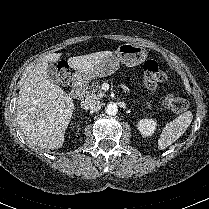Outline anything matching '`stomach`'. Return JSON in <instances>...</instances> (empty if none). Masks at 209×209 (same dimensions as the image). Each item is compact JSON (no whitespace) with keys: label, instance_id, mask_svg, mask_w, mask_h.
<instances>
[{"label":"stomach","instance_id":"obj_1","mask_svg":"<svg viewBox=\"0 0 209 209\" xmlns=\"http://www.w3.org/2000/svg\"><path fill=\"white\" fill-rule=\"evenodd\" d=\"M146 57V49L141 45L122 44L118 47L115 54L106 56L87 72L79 73V77L86 81L96 77H105L114 73L119 68L120 62L132 67L144 62Z\"/></svg>","mask_w":209,"mask_h":209}]
</instances>
